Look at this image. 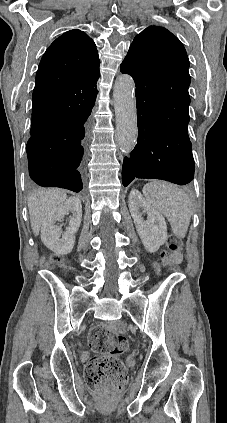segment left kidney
I'll return each instance as SVG.
<instances>
[{"label": "left kidney", "instance_id": "obj_1", "mask_svg": "<svg viewBox=\"0 0 227 423\" xmlns=\"http://www.w3.org/2000/svg\"><path fill=\"white\" fill-rule=\"evenodd\" d=\"M139 208H144L147 211V219L142 217ZM129 210L147 251H157L167 239V225L162 213L151 208L139 190H131L129 194Z\"/></svg>", "mask_w": 227, "mask_h": 423}]
</instances>
